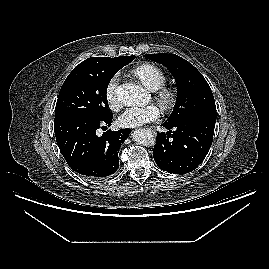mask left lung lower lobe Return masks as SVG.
Instances as JSON below:
<instances>
[{
	"instance_id": "left-lung-lower-lobe-1",
	"label": "left lung lower lobe",
	"mask_w": 269,
	"mask_h": 269,
	"mask_svg": "<svg viewBox=\"0 0 269 269\" xmlns=\"http://www.w3.org/2000/svg\"><path fill=\"white\" fill-rule=\"evenodd\" d=\"M215 123L216 114L213 113L201 114L176 125L163 123L169 131L158 133L153 150L156 164L169 173L193 171L212 145Z\"/></svg>"
}]
</instances>
